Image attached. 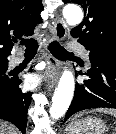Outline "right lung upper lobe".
<instances>
[{
  "label": "right lung upper lobe",
  "instance_id": "1",
  "mask_svg": "<svg viewBox=\"0 0 116 134\" xmlns=\"http://www.w3.org/2000/svg\"><path fill=\"white\" fill-rule=\"evenodd\" d=\"M43 8L42 0H0V62H8L13 40L34 34Z\"/></svg>",
  "mask_w": 116,
  "mask_h": 134
}]
</instances>
